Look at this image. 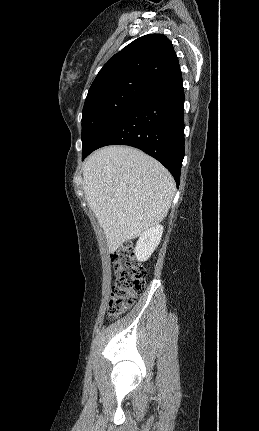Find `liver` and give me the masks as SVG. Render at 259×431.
<instances>
[{"label": "liver", "instance_id": "obj_1", "mask_svg": "<svg viewBox=\"0 0 259 431\" xmlns=\"http://www.w3.org/2000/svg\"><path fill=\"white\" fill-rule=\"evenodd\" d=\"M175 181L157 160L128 146L92 153L83 168V190L103 228L109 253L167 215Z\"/></svg>", "mask_w": 259, "mask_h": 431}]
</instances>
